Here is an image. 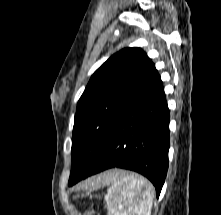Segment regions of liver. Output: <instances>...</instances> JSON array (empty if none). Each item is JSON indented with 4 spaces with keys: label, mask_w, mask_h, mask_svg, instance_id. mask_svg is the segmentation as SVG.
Returning a JSON list of instances; mask_svg holds the SVG:
<instances>
[{
    "label": "liver",
    "mask_w": 221,
    "mask_h": 215,
    "mask_svg": "<svg viewBox=\"0 0 221 215\" xmlns=\"http://www.w3.org/2000/svg\"><path fill=\"white\" fill-rule=\"evenodd\" d=\"M116 171H108L103 174L94 176L87 181L81 184L82 188L89 189V188H99L101 186H105L109 184L113 178V175Z\"/></svg>",
    "instance_id": "liver-1"
}]
</instances>
